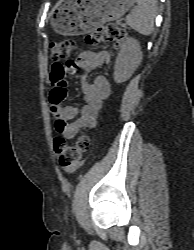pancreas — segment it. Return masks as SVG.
<instances>
[{
    "label": "pancreas",
    "instance_id": "cf45deb5",
    "mask_svg": "<svg viewBox=\"0 0 194 250\" xmlns=\"http://www.w3.org/2000/svg\"><path fill=\"white\" fill-rule=\"evenodd\" d=\"M121 26H122V27H125V25H124V24H121Z\"/></svg>",
    "mask_w": 194,
    "mask_h": 250
}]
</instances>
